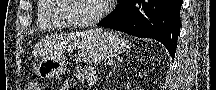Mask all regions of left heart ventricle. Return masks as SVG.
<instances>
[{
	"instance_id": "1",
	"label": "left heart ventricle",
	"mask_w": 216,
	"mask_h": 90,
	"mask_svg": "<svg viewBox=\"0 0 216 90\" xmlns=\"http://www.w3.org/2000/svg\"><path fill=\"white\" fill-rule=\"evenodd\" d=\"M69 6H73L69 15L78 21H87L95 17L102 6L97 0H68Z\"/></svg>"
}]
</instances>
